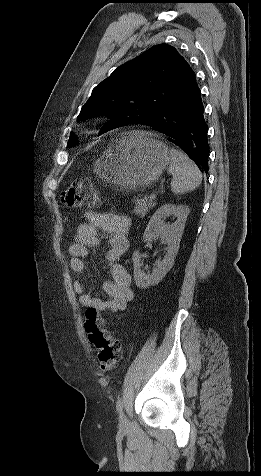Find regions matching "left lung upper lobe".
I'll use <instances>...</instances> for the list:
<instances>
[{
  "mask_svg": "<svg viewBox=\"0 0 261 476\" xmlns=\"http://www.w3.org/2000/svg\"><path fill=\"white\" fill-rule=\"evenodd\" d=\"M194 71L178 51L158 44L119 66L98 84L78 120L106 116L99 134L160 115L191 84ZM78 144L71 133L67 147Z\"/></svg>",
  "mask_w": 261,
  "mask_h": 476,
  "instance_id": "left-lung-upper-lobe-1",
  "label": "left lung upper lobe"
}]
</instances>
